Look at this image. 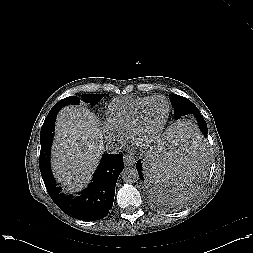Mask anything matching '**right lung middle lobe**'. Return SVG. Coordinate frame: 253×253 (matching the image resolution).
I'll use <instances>...</instances> for the list:
<instances>
[{
    "instance_id": "1",
    "label": "right lung middle lobe",
    "mask_w": 253,
    "mask_h": 253,
    "mask_svg": "<svg viewBox=\"0 0 253 253\" xmlns=\"http://www.w3.org/2000/svg\"><path fill=\"white\" fill-rule=\"evenodd\" d=\"M103 97H104L103 94H84L82 95L81 99L86 103L96 105ZM81 99L76 96L64 98L60 100L57 104H55L52 107V109L60 110L61 108L67 105H78ZM53 132L54 127H49L46 124H43L40 133V144H41L40 156H46L47 154H50L51 143L54 136Z\"/></svg>"
}]
</instances>
